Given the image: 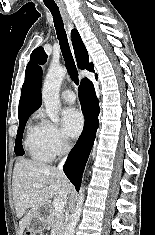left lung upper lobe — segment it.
I'll use <instances>...</instances> for the list:
<instances>
[{"label": "left lung upper lobe", "mask_w": 155, "mask_h": 235, "mask_svg": "<svg viewBox=\"0 0 155 235\" xmlns=\"http://www.w3.org/2000/svg\"><path fill=\"white\" fill-rule=\"evenodd\" d=\"M46 59H47V55H46L43 47L40 46V47L36 48L30 56V61L27 65L26 70H28L35 62H38L40 64H44L46 62Z\"/></svg>", "instance_id": "1"}]
</instances>
